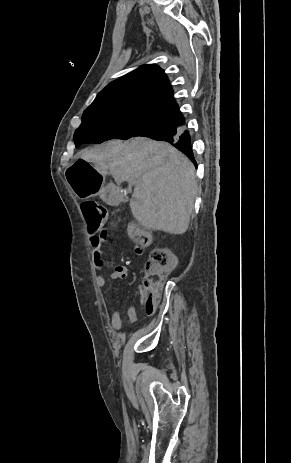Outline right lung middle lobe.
I'll return each instance as SVG.
<instances>
[{"instance_id": "right-lung-middle-lobe-1", "label": "right lung middle lobe", "mask_w": 291, "mask_h": 463, "mask_svg": "<svg viewBox=\"0 0 291 463\" xmlns=\"http://www.w3.org/2000/svg\"><path fill=\"white\" fill-rule=\"evenodd\" d=\"M168 125L166 120L147 114L86 109L82 123L74 133V142L79 147L111 139L127 140L160 131Z\"/></svg>"}]
</instances>
